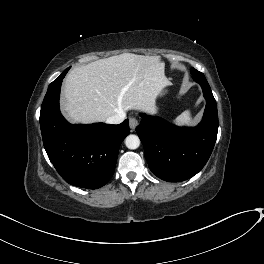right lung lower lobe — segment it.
Instances as JSON below:
<instances>
[{"label": "right lung lower lobe", "instance_id": "obj_1", "mask_svg": "<svg viewBox=\"0 0 264 264\" xmlns=\"http://www.w3.org/2000/svg\"><path fill=\"white\" fill-rule=\"evenodd\" d=\"M65 70L48 87L40 111V127L47 155L69 184L97 189L114 174L119 147L129 134L128 119L119 125H72L59 110Z\"/></svg>", "mask_w": 264, "mask_h": 264}]
</instances>
